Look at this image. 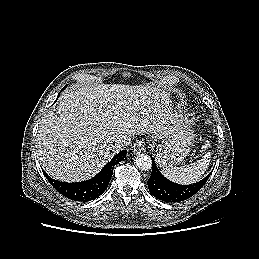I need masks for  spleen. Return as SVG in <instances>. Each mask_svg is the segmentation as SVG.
I'll return each instance as SVG.
<instances>
[{"instance_id":"3e777b00","label":"spleen","mask_w":259,"mask_h":259,"mask_svg":"<svg viewBox=\"0 0 259 259\" xmlns=\"http://www.w3.org/2000/svg\"><path fill=\"white\" fill-rule=\"evenodd\" d=\"M211 154L206 153L200 160L194 163L180 166L164 168L162 174L169 180L180 184H191L201 179L208 168Z\"/></svg>"}]
</instances>
